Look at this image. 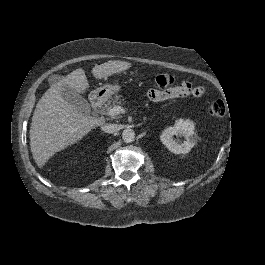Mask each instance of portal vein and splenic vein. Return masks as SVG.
Wrapping results in <instances>:
<instances>
[{
    "label": "portal vein and splenic vein",
    "instance_id": "18ae733b",
    "mask_svg": "<svg viewBox=\"0 0 265 265\" xmlns=\"http://www.w3.org/2000/svg\"><path fill=\"white\" fill-rule=\"evenodd\" d=\"M119 113H127V110L125 108H120V107H113L109 112H107L106 114L108 116H115Z\"/></svg>",
    "mask_w": 265,
    "mask_h": 265
}]
</instances>
